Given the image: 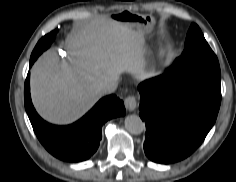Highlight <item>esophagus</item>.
Segmentation results:
<instances>
[{
	"label": "esophagus",
	"instance_id": "1",
	"mask_svg": "<svg viewBox=\"0 0 236 182\" xmlns=\"http://www.w3.org/2000/svg\"><path fill=\"white\" fill-rule=\"evenodd\" d=\"M124 104L128 111L133 112L137 108V99L134 95H130L125 98Z\"/></svg>",
	"mask_w": 236,
	"mask_h": 182
}]
</instances>
